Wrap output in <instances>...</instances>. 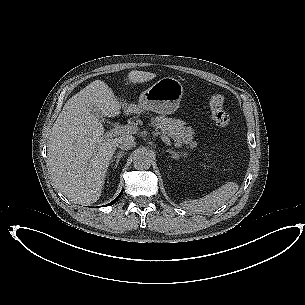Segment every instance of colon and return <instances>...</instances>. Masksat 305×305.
<instances>
[{"label": "colon", "instance_id": "obj_1", "mask_svg": "<svg viewBox=\"0 0 305 305\" xmlns=\"http://www.w3.org/2000/svg\"><path fill=\"white\" fill-rule=\"evenodd\" d=\"M210 109L212 118L219 126H225L230 121L229 114L224 109V98L221 95H215L210 100Z\"/></svg>", "mask_w": 305, "mask_h": 305}]
</instances>
